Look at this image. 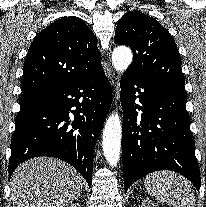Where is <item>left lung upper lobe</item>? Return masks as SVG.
I'll list each match as a JSON object with an SVG mask.
<instances>
[{
	"instance_id": "5c2ea615",
	"label": "left lung upper lobe",
	"mask_w": 206,
	"mask_h": 207,
	"mask_svg": "<svg viewBox=\"0 0 206 207\" xmlns=\"http://www.w3.org/2000/svg\"><path fill=\"white\" fill-rule=\"evenodd\" d=\"M115 41L128 45L134 53L125 73L185 91L177 45L154 18L138 11L127 12L118 24Z\"/></svg>"
}]
</instances>
